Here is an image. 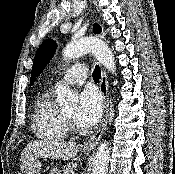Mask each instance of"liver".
Returning <instances> with one entry per match:
<instances>
[{
	"instance_id": "obj_1",
	"label": "liver",
	"mask_w": 175,
	"mask_h": 174,
	"mask_svg": "<svg viewBox=\"0 0 175 174\" xmlns=\"http://www.w3.org/2000/svg\"><path fill=\"white\" fill-rule=\"evenodd\" d=\"M79 151V145L73 142L35 141L29 143L21 154L22 163L41 158L70 160Z\"/></svg>"
}]
</instances>
